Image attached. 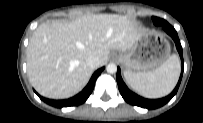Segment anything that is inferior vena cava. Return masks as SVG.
I'll return each mask as SVG.
<instances>
[{
	"mask_svg": "<svg viewBox=\"0 0 203 123\" xmlns=\"http://www.w3.org/2000/svg\"><path fill=\"white\" fill-rule=\"evenodd\" d=\"M86 64H87L90 68L95 69V68H97L98 65H99V59H98V57H96V56H89V57L87 58V60H86Z\"/></svg>",
	"mask_w": 203,
	"mask_h": 123,
	"instance_id": "1",
	"label": "inferior vena cava"
}]
</instances>
